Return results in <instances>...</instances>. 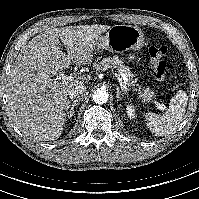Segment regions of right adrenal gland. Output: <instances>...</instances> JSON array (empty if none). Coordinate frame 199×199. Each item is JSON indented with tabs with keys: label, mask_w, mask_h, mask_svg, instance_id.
Segmentation results:
<instances>
[{
	"label": "right adrenal gland",
	"mask_w": 199,
	"mask_h": 199,
	"mask_svg": "<svg viewBox=\"0 0 199 199\" xmlns=\"http://www.w3.org/2000/svg\"><path fill=\"white\" fill-rule=\"evenodd\" d=\"M79 105V102L78 101H75L73 104H72V106H71V108H70V110H69V112H68V114H67V117L70 119V118H72L73 116H74V114H75V110H74V108H75V106H78Z\"/></svg>",
	"instance_id": "1"
}]
</instances>
